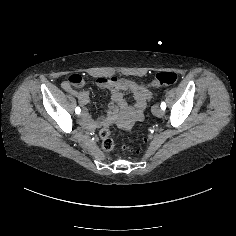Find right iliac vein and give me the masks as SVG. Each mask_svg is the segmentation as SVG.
I'll list each match as a JSON object with an SVG mask.
<instances>
[{"label": "right iliac vein", "instance_id": "obj_1", "mask_svg": "<svg viewBox=\"0 0 236 236\" xmlns=\"http://www.w3.org/2000/svg\"><path fill=\"white\" fill-rule=\"evenodd\" d=\"M86 114H87L86 111L83 110L82 113H81V116H86Z\"/></svg>", "mask_w": 236, "mask_h": 236}]
</instances>
